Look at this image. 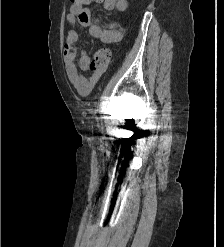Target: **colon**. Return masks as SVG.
<instances>
[{"label": "colon", "mask_w": 224, "mask_h": 247, "mask_svg": "<svg viewBox=\"0 0 224 247\" xmlns=\"http://www.w3.org/2000/svg\"><path fill=\"white\" fill-rule=\"evenodd\" d=\"M72 6L81 7L84 4V0H70ZM111 58V51L109 48L103 47L98 49L91 60L90 69L93 73H103L109 63Z\"/></svg>", "instance_id": "obj_1"}]
</instances>
